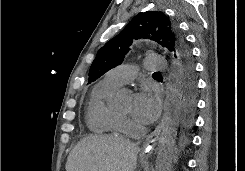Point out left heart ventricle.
Wrapping results in <instances>:
<instances>
[{"label":"left heart ventricle","mask_w":245,"mask_h":171,"mask_svg":"<svg viewBox=\"0 0 245 171\" xmlns=\"http://www.w3.org/2000/svg\"><path fill=\"white\" fill-rule=\"evenodd\" d=\"M133 99L132 97L125 103L122 112L123 113H129L131 111V109L133 108V103H132Z\"/></svg>","instance_id":"obj_1"}]
</instances>
